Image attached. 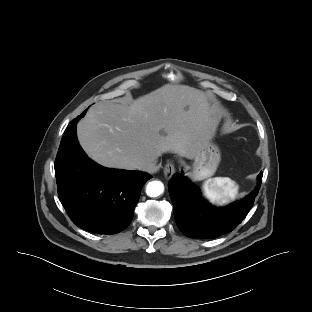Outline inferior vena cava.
Here are the masks:
<instances>
[{
    "instance_id": "602c4592",
    "label": "inferior vena cava",
    "mask_w": 312,
    "mask_h": 312,
    "mask_svg": "<svg viewBox=\"0 0 312 312\" xmlns=\"http://www.w3.org/2000/svg\"><path fill=\"white\" fill-rule=\"evenodd\" d=\"M138 169L145 172L154 173L159 169V166H157V161L155 159H146L140 163Z\"/></svg>"
}]
</instances>
